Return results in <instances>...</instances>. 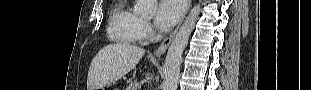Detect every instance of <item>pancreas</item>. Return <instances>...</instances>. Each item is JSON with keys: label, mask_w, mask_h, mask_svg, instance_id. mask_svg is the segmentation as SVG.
Returning a JSON list of instances; mask_svg holds the SVG:
<instances>
[{"label": "pancreas", "mask_w": 311, "mask_h": 90, "mask_svg": "<svg viewBox=\"0 0 311 90\" xmlns=\"http://www.w3.org/2000/svg\"><path fill=\"white\" fill-rule=\"evenodd\" d=\"M140 84L137 81L130 82V84L126 87L125 90H139Z\"/></svg>", "instance_id": "cf45deb5"}]
</instances>
